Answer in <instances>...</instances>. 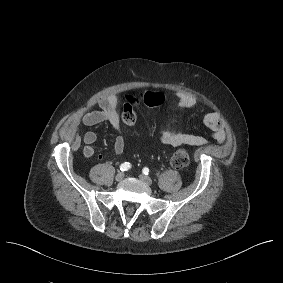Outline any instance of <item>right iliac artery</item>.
<instances>
[{"label": "right iliac artery", "mask_w": 283, "mask_h": 283, "mask_svg": "<svg viewBox=\"0 0 283 283\" xmlns=\"http://www.w3.org/2000/svg\"><path fill=\"white\" fill-rule=\"evenodd\" d=\"M130 168H131V165H130L129 162H125V163L121 164V166H120V170H121V171H127V170H129Z\"/></svg>", "instance_id": "right-iliac-artery-1"}]
</instances>
